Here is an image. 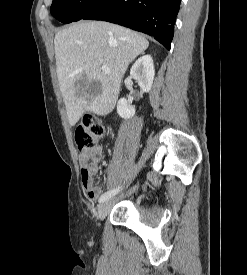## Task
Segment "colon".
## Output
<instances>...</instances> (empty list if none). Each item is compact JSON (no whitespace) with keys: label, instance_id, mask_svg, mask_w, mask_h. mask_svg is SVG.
Wrapping results in <instances>:
<instances>
[{"label":"colon","instance_id":"1","mask_svg":"<svg viewBox=\"0 0 247 275\" xmlns=\"http://www.w3.org/2000/svg\"><path fill=\"white\" fill-rule=\"evenodd\" d=\"M104 135V128L95 121L86 118L74 134L77 148L84 152L90 160L98 158L97 146Z\"/></svg>","mask_w":247,"mask_h":275}]
</instances>
